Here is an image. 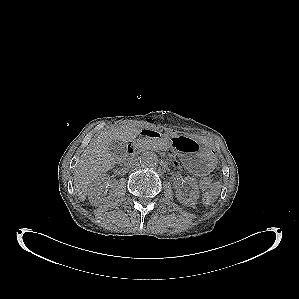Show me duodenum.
<instances>
[{"label":"duodenum","mask_w":299,"mask_h":299,"mask_svg":"<svg viewBox=\"0 0 299 299\" xmlns=\"http://www.w3.org/2000/svg\"><path fill=\"white\" fill-rule=\"evenodd\" d=\"M144 136H153V132L149 130H143L135 139L130 141L127 145V151L129 154H133L135 152L138 139Z\"/></svg>","instance_id":"410a0bca"}]
</instances>
